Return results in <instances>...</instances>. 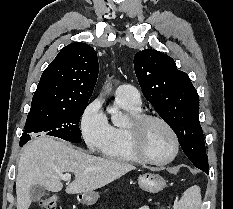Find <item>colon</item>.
<instances>
[{"label":"colon","mask_w":233,"mask_h":209,"mask_svg":"<svg viewBox=\"0 0 233 209\" xmlns=\"http://www.w3.org/2000/svg\"><path fill=\"white\" fill-rule=\"evenodd\" d=\"M40 205L42 209H57V198L55 196L46 197Z\"/></svg>","instance_id":"obj_1"}]
</instances>
